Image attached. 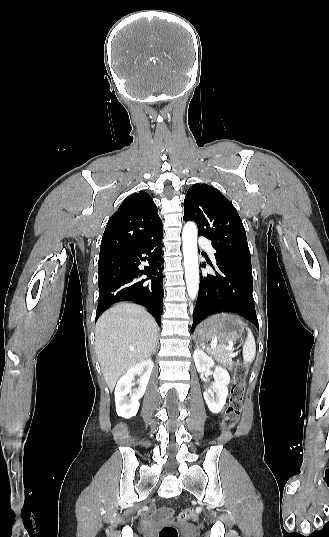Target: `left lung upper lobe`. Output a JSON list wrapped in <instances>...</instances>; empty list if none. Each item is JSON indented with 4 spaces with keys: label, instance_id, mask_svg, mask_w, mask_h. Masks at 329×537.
I'll use <instances>...</instances> for the list:
<instances>
[{
    "label": "left lung upper lobe",
    "instance_id": "1",
    "mask_svg": "<svg viewBox=\"0 0 329 537\" xmlns=\"http://www.w3.org/2000/svg\"><path fill=\"white\" fill-rule=\"evenodd\" d=\"M184 219L197 223L198 234L212 241L217 258L252 269L246 232L239 214L223 194L194 184L184 200Z\"/></svg>",
    "mask_w": 329,
    "mask_h": 537
}]
</instances>
